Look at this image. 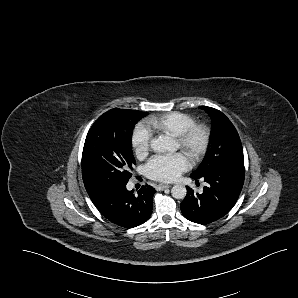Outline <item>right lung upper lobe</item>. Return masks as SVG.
<instances>
[{
	"instance_id": "1",
	"label": "right lung upper lobe",
	"mask_w": 298,
	"mask_h": 298,
	"mask_svg": "<svg viewBox=\"0 0 298 298\" xmlns=\"http://www.w3.org/2000/svg\"><path fill=\"white\" fill-rule=\"evenodd\" d=\"M112 110V109H111ZM113 110H118V111H127V112H131L134 113L140 117H145L148 113H143L141 111H137V110H123V109H118V108H114Z\"/></svg>"
}]
</instances>
